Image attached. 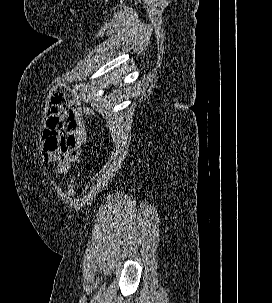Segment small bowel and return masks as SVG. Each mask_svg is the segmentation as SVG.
I'll return each mask as SVG.
<instances>
[{"mask_svg": "<svg viewBox=\"0 0 272 303\" xmlns=\"http://www.w3.org/2000/svg\"><path fill=\"white\" fill-rule=\"evenodd\" d=\"M87 135L81 103L62 94L53 95L41 129L43 160L54 164L57 173H66L79 158Z\"/></svg>", "mask_w": 272, "mask_h": 303, "instance_id": "small-bowel-1", "label": "small bowel"}]
</instances>
